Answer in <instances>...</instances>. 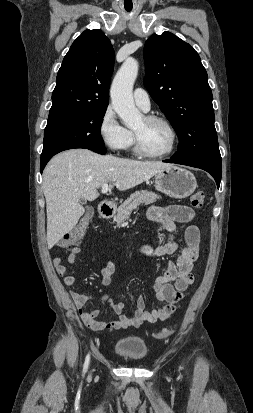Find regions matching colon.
<instances>
[{
    "label": "colon",
    "instance_id": "obj_1",
    "mask_svg": "<svg viewBox=\"0 0 253 413\" xmlns=\"http://www.w3.org/2000/svg\"><path fill=\"white\" fill-rule=\"evenodd\" d=\"M204 201L205 195L202 191L195 192L190 198L191 205L196 209L202 208ZM91 216L92 211L91 209H88L82 216L80 221L77 223V225L69 233L65 234L63 238L58 242V247L70 248L71 246L78 245L86 233L91 220ZM174 332L175 328H165L160 332L154 334V337L157 339H162L170 336Z\"/></svg>",
    "mask_w": 253,
    "mask_h": 413
}]
</instances>
